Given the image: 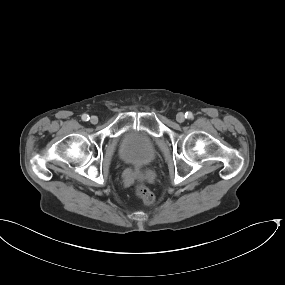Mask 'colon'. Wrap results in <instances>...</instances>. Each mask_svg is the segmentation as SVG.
<instances>
[{
  "label": "colon",
  "instance_id": "colon-1",
  "mask_svg": "<svg viewBox=\"0 0 285 285\" xmlns=\"http://www.w3.org/2000/svg\"><path fill=\"white\" fill-rule=\"evenodd\" d=\"M135 193L145 205H151L155 201V195L144 184H137L135 186Z\"/></svg>",
  "mask_w": 285,
  "mask_h": 285
}]
</instances>
